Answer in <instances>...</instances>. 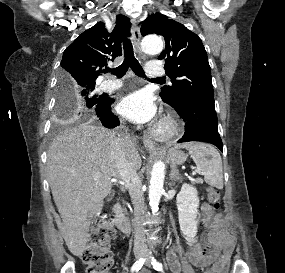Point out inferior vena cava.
<instances>
[{"mask_svg":"<svg viewBox=\"0 0 285 273\" xmlns=\"http://www.w3.org/2000/svg\"><path fill=\"white\" fill-rule=\"evenodd\" d=\"M113 156L120 177L128 188L135 212L134 253L146 254L145 228L141 216L145 213L144 196L141 190V180L129 161L124 149L123 139L117 137L113 144Z\"/></svg>","mask_w":285,"mask_h":273,"instance_id":"602c4592","label":"inferior vena cava"}]
</instances>
